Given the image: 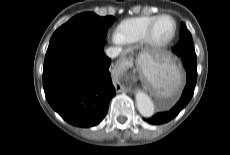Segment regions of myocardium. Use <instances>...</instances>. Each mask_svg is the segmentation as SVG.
I'll list each match as a JSON object with an SVG mask.
<instances>
[{
	"instance_id": "1",
	"label": "myocardium",
	"mask_w": 230,
	"mask_h": 155,
	"mask_svg": "<svg viewBox=\"0 0 230 155\" xmlns=\"http://www.w3.org/2000/svg\"><path fill=\"white\" fill-rule=\"evenodd\" d=\"M163 18H168L172 21L173 30H172V32L168 38L160 41L154 37V30H155L157 23ZM176 33H177V23H176L175 19L171 15L161 14V15H158L152 21V23L148 26L143 40L147 45H149L153 48H156V49H161V48L168 46L174 40Z\"/></svg>"
}]
</instances>
